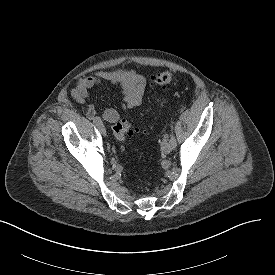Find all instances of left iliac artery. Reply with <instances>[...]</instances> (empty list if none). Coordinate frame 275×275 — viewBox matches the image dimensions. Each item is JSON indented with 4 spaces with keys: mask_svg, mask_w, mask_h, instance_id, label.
<instances>
[{
    "mask_svg": "<svg viewBox=\"0 0 275 275\" xmlns=\"http://www.w3.org/2000/svg\"><path fill=\"white\" fill-rule=\"evenodd\" d=\"M170 128H171L170 141H171L173 147H176V145H177L176 139H175L174 134H173V132H172V130H173V122H171Z\"/></svg>",
    "mask_w": 275,
    "mask_h": 275,
    "instance_id": "obj_1",
    "label": "left iliac artery"
}]
</instances>
